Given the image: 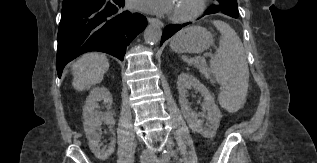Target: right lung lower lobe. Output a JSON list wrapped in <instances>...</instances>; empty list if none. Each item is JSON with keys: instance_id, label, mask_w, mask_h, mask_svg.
Instances as JSON below:
<instances>
[{"instance_id": "98d812e1", "label": "right lung lower lobe", "mask_w": 317, "mask_h": 163, "mask_svg": "<svg viewBox=\"0 0 317 163\" xmlns=\"http://www.w3.org/2000/svg\"><path fill=\"white\" fill-rule=\"evenodd\" d=\"M124 0H94L61 13L56 66H64L87 51H101L123 60L127 45L145 29L146 18L122 11Z\"/></svg>"}]
</instances>
